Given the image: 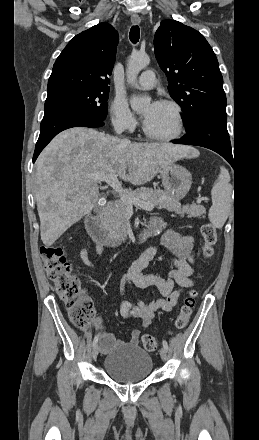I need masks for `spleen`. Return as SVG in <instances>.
Returning <instances> with one entry per match:
<instances>
[{"label":"spleen","mask_w":259,"mask_h":440,"mask_svg":"<svg viewBox=\"0 0 259 440\" xmlns=\"http://www.w3.org/2000/svg\"><path fill=\"white\" fill-rule=\"evenodd\" d=\"M229 182L228 170L221 167L217 181L211 190L212 206L208 214L211 224L216 228L223 227L232 204V186Z\"/></svg>","instance_id":"obj_1"}]
</instances>
